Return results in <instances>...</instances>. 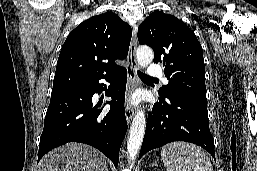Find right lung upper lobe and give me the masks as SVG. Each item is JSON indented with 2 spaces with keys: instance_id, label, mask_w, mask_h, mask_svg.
Segmentation results:
<instances>
[{
  "instance_id": "right-lung-upper-lobe-1",
  "label": "right lung upper lobe",
  "mask_w": 257,
  "mask_h": 171,
  "mask_svg": "<svg viewBox=\"0 0 257 171\" xmlns=\"http://www.w3.org/2000/svg\"><path fill=\"white\" fill-rule=\"evenodd\" d=\"M132 32L113 12L91 17L72 30L57 61L53 87L86 83L115 73L126 58Z\"/></svg>"
}]
</instances>
